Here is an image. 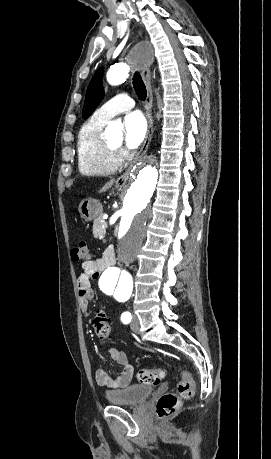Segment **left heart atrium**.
I'll use <instances>...</instances> for the list:
<instances>
[{"mask_svg":"<svg viewBox=\"0 0 271 459\" xmlns=\"http://www.w3.org/2000/svg\"><path fill=\"white\" fill-rule=\"evenodd\" d=\"M147 122L140 112L128 114L124 119V141L127 147L137 148L147 136Z\"/></svg>","mask_w":271,"mask_h":459,"instance_id":"39dd6f15","label":"left heart atrium"}]
</instances>
